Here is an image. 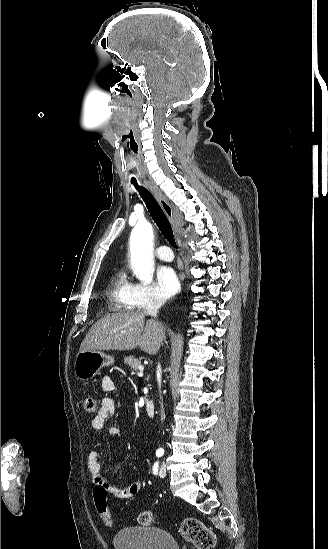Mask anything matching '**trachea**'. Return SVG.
<instances>
[{"mask_svg": "<svg viewBox=\"0 0 328 549\" xmlns=\"http://www.w3.org/2000/svg\"><path fill=\"white\" fill-rule=\"evenodd\" d=\"M131 183L139 192V195L143 199L148 209V212L150 213L154 222L157 224V227L163 234L164 238L168 240V242L170 243V245H172V247L178 248L170 222L166 217L165 213L163 212V210L161 209L160 205L158 204L157 200H155L153 195H151L150 192H148V190H146L142 186H139L136 180H133Z\"/></svg>", "mask_w": 328, "mask_h": 549, "instance_id": "1", "label": "trachea"}]
</instances>
